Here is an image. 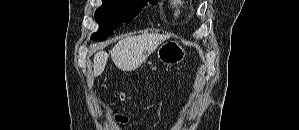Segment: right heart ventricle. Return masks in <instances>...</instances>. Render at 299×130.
<instances>
[{
	"label": "right heart ventricle",
	"mask_w": 299,
	"mask_h": 130,
	"mask_svg": "<svg viewBox=\"0 0 299 130\" xmlns=\"http://www.w3.org/2000/svg\"><path fill=\"white\" fill-rule=\"evenodd\" d=\"M184 9L183 1H171L170 10L175 18H178Z\"/></svg>",
	"instance_id": "1"
}]
</instances>
